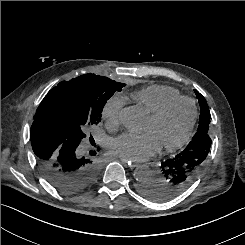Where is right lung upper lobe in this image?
I'll return each mask as SVG.
<instances>
[{
    "label": "right lung upper lobe",
    "instance_id": "obj_1",
    "mask_svg": "<svg viewBox=\"0 0 245 245\" xmlns=\"http://www.w3.org/2000/svg\"><path fill=\"white\" fill-rule=\"evenodd\" d=\"M49 92H51V90H50ZM49 92H48V93H49ZM45 97L47 98V96H45ZM43 100H45V98H44ZM43 100H42L41 104L39 105V107L37 108L36 114L34 115V121H36V120H38V119H42V118H41L40 111H41V107H42L43 102H44ZM33 123H34V122H33Z\"/></svg>",
    "mask_w": 245,
    "mask_h": 245
}]
</instances>
